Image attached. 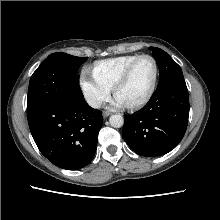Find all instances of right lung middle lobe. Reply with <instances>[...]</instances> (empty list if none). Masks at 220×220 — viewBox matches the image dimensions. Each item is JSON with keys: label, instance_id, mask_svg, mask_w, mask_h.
Masks as SVG:
<instances>
[{"label": "right lung middle lobe", "instance_id": "obj_1", "mask_svg": "<svg viewBox=\"0 0 220 220\" xmlns=\"http://www.w3.org/2000/svg\"><path fill=\"white\" fill-rule=\"evenodd\" d=\"M87 58L63 52L49 55L30 79L27 108L45 102L71 104L83 101L77 72Z\"/></svg>", "mask_w": 220, "mask_h": 220}]
</instances>
